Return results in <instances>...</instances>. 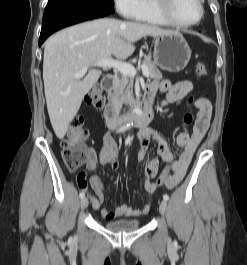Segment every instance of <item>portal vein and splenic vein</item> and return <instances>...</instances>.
I'll return each instance as SVG.
<instances>
[{"instance_id": "1", "label": "portal vein and splenic vein", "mask_w": 247, "mask_h": 265, "mask_svg": "<svg viewBox=\"0 0 247 265\" xmlns=\"http://www.w3.org/2000/svg\"><path fill=\"white\" fill-rule=\"evenodd\" d=\"M94 65L103 68H113L115 70H118L123 75L132 76V77H134L137 73V70L131 64L114 59H101L97 61ZM138 68H141L144 75L148 76V69L146 66L141 65L138 66ZM87 70L88 67H84L75 75V78L76 79L82 78L87 72Z\"/></svg>"}]
</instances>
